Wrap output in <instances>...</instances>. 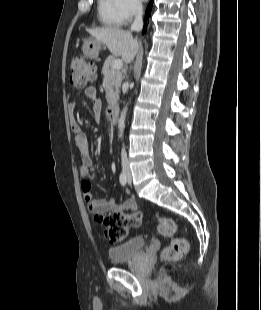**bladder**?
Returning a JSON list of instances; mask_svg holds the SVG:
<instances>
[{
	"label": "bladder",
	"mask_w": 261,
	"mask_h": 310,
	"mask_svg": "<svg viewBox=\"0 0 261 310\" xmlns=\"http://www.w3.org/2000/svg\"><path fill=\"white\" fill-rule=\"evenodd\" d=\"M145 245L146 241L142 236H133L111 246L108 249V255L113 263H124L136 257L144 249Z\"/></svg>",
	"instance_id": "bladder-1"
}]
</instances>
